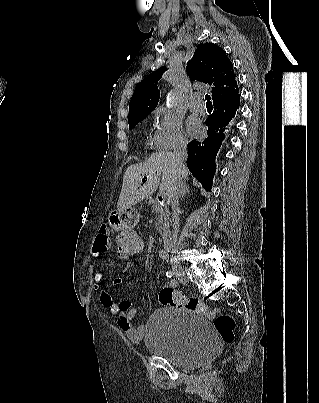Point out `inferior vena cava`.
Here are the masks:
<instances>
[{
    "mask_svg": "<svg viewBox=\"0 0 319 403\" xmlns=\"http://www.w3.org/2000/svg\"><path fill=\"white\" fill-rule=\"evenodd\" d=\"M174 162L178 166H182L187 158V141L180 138L173 151ZM182 180L179 176L176 177L169 192L172 207V220H173V240L176 241L178 228H179V193Z\"/></svg>",
    "mask_w": 319,
    "mask_h": 403,
    "instance_id": "inferior-vena-cava-1",
    "label": "inferior vena cava"
}]
</instances>
